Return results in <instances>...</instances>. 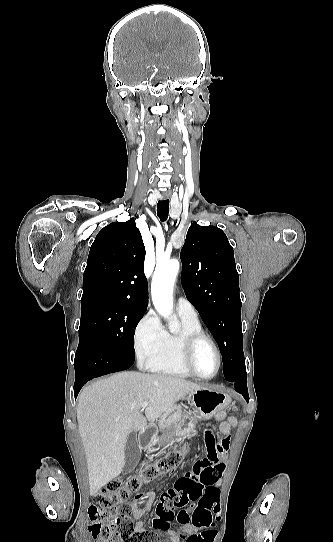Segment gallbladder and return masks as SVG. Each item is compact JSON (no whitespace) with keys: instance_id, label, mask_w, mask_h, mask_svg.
Masks as SVG:
<instances>
[{"instance_id":"bac80fb5","label":"gallbladder","mask_w":333,"mask_h":542,"mask_svg":"<svg viewBox=\"0 0 333 542\" xmlns=\"http://www.w3.org/2000/svg\"><path fill=\"white\" fill-rule=\"evenodd\" d=\"M141 444H139L135 432H131L130 436H128L127 438V444L125 448V464L122 470V474H131V472L135 470L141 458Z\"/></svg>"}]
</instances>
